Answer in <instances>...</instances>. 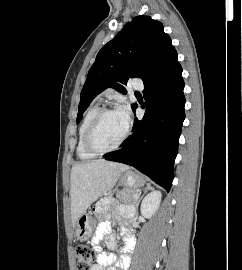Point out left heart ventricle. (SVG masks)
<instances>
[{
	"mask_svg": "<svg viewBox=\"0 0 242 270\" xmlns=\"http://www.w3.org/2000/svg\"><path fill=\"white\" fill-rule=\"evenodd\" d=\"M126 126L119 112L106 115L93 135V144L100 149L114 146L122 138Z\"/></svg>",
	"mask_w": 242,
	"mask_h": 270,
	"instance_id": "1",
	"label": "left heart ventricle"
}]
</instances>
